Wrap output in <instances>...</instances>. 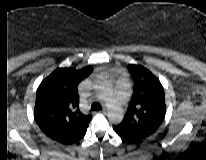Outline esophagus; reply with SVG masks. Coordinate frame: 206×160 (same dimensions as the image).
<instances>
[{
  "instance_id": "obj_1",
  "label": "esophagus",
  "mask_w": 206,
  "mask_h": 160,
  "mask_svg": "<svg viewBox=\"0 0 206 160\" xmlns=\"http://www.w3.org/2000/svg\"><path fill=\"white\" fill-rule=\"evenodd\" d=\"M101 113H102V114H106V108H103V109L101 110Z\"/></svg>"
}]
</instances>
